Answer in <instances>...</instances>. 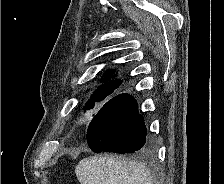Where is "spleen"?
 <instances>
[{"instance_id": "3e777b00", "label": "spleen", "mask_w": 224, "mask_h": 184, "mask_svg": "<svg viewBox=\"0 0 224 184\" xmlns=\"http://www.w3.org/2000/svg\"><path fill=\"white\" fill-rule=\"evenodd\" d=\"M75 173L81 184H152L144 165L114 156L84 158Z\"/></svg>"}]
</instances>
